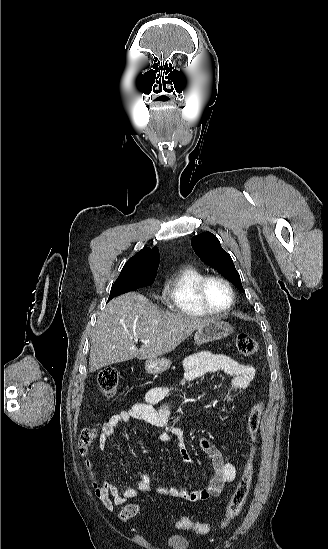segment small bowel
<instances>
[{
	"mask_svg": "<svg viewBox=\"0 0 328 549\" xmlns=\"http://www.w3.org/2000/svg\"><path fill=\"white\" fill-rule=\"evenodd\" d=\"M222 371L232 377L229 389L237 393L248 388L255 376V368L250 364L240 363L235 359L210 351L189 355L184 360V373L179 384H185L206 374ZM171 391L169 386H157L146 392L143 400L134 403L129 409L122 410L109 417L102 425L98 441L100 450H104L108 440L115 434L121 423L140 421L158 429V438L163 442L177 440V448L182 461L192 464V457L181 439L182 432L170 423L174 404L164 402ZM201 450L211 459L213 475L207 486L187 490L185 488L160 485L158 491L189 502L204 501L221 494L224 486L236 478V467L224 460L221 452L208 440L199 441ZM154 482L148 473H139L135 487H120L111 477H106L99 490L101 503L105 509L112 511L116 506L125 505L128 500L136 498L140 492H148Z\"/></svg>",
	"mask_w": 328,
	"mask_h": 549,
	"instance_id": "obj_1",
	"label": "small bowel"
}]
</instances>
